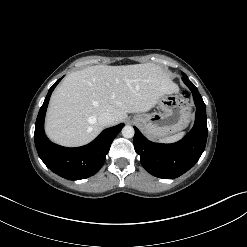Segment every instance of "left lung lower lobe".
I'll list each match as a JSON object with an SVG mask.
<instances>
[{
  "label": "left lung lower lobe",
  "mask_w": 247,
  "mask_h": 247,
  "mask_svg": "<svg viewBox=\"0 0 247 247\" xmlns=\"http://www.w3.org/2000/svg\"><path fill=\"white\" fill-rule=\"evenodd\" d=\"M183 82L193 94L196 118L192 130L173 144L152 143L135 128L134 148L150 174L164 179H174L192 168L202 155L207 141V118L204 101L196 86L186 79Z\"/></svg>",
  "instance_id": "obj_1"
}]
</instances>
